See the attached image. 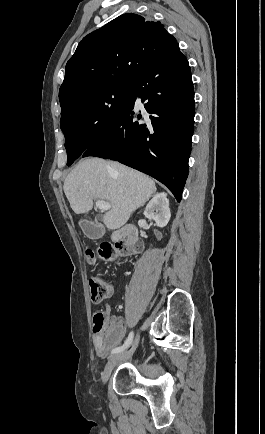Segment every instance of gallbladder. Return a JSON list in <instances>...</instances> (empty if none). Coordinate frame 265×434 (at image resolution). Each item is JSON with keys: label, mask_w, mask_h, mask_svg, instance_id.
Returning a JSON list of instances; mask_svg holds the SVG:
<instances>
[{"label": "gallbladder", "mask_w": 265, "mask_h": 434, "mask_svg": "<svg viewBox=\"0 0 265 434\" xmlns=\"http://www.w3.org/2000/svg\"><path fill=\"white\" fill-rule=\"evenodd\" d=\"M96 218H102V216H99L97 214ZM82 229L85 231V234L88 238H93L94 240H98L103 237L104 232L103 225L102 224H94L93 221L90 218H85L82 220Z\"/></svg>", "instance_id": "1"}]
</instances>
